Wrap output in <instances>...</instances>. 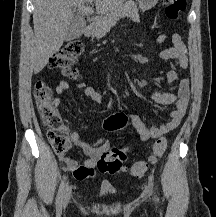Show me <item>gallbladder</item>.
<instances>
[{
    "mask_svg": "<svg viewBox=\"0 0 216 217\" xmlns=\"http://www.w3.org/2000/svg\"><path fill=\"white\" fill-rule=\"evenodd\" d=\"M83 27L84 26H83L82 20H80L79 17L74 16V18H73V20L69 26L65 40L71 41L73 39H77V38L81 37Z\"/></svg>",
    "mask_w": 216,
    "mask_h": 217,
    "instance_id": "bac80fb5",
    "label": "gallbladder"
}]
</instances>
